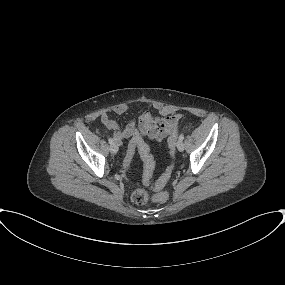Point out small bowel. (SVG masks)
Segmentation results:
<instances>
[{
	"label": "small bowel",
	"instance_id": "1",
	"mask_svg": "<svg viewBox=\"0 0 285 285\" xmlns=\"http://www.w3.org/2000/svg\"><path fill=\"white\" fill-rule=\"evenodd\" d=\"M128 109V105L118 104L113 107L112 112L120 115ZM180 118L181 115L178 113L157 116L150 111H144L137 118L130 119L124 127L119 125L107 113H103L100 120L105 128L114 130V140L120 144L127 138L141 142V136H145L152 141L161 142L176 129Z\"/></svg>",
	"mask_w": 285,
	"mask_h": 285
}]
</instances>
